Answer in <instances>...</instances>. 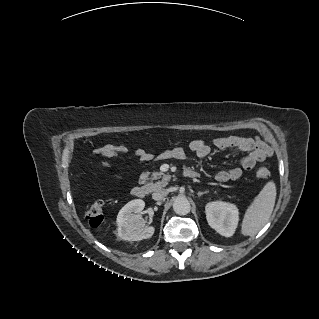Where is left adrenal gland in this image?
I'll use <instances>...</instances> for the list:
<instances>
[{"label":"left adrenal gland","mask_w":319,"mask_h":319,"mask_svg":"<svg viewBox=\"0 0 319 319\" xmlns=\"http://www.w3.org/2000/svg\"><path fill=\"white\" fill-rule=\"evenodd\" d=\"M207 192H208V191H204V192L199 191L197 195H198V197H200V196H202L203 194H206Z\"/></svg>","instance_id":"left-adrenal-gland-1"}]
</instances>
